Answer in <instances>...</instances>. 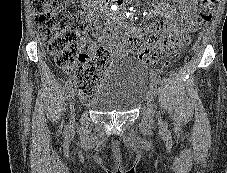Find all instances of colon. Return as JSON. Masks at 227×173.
<instances>
[{"instance_id":"obj_1","label":"colon","mask_w":227,"mask_h":173,"mask_svg":"<svg viewBox=\"0 0 227 173\" xmlns=\"http://www.w3.org/2000/svg\"><path fill=\"white\" fill-rule=\"evenodd\" d=\"M67 0H33L36 13L35 22L40 35L54 57L56 65L69 73L74 71L75 85L80 97L88 100L95 92L104 70L109 63L108 51L99 46L91 54L92 45L104 40L116 31V24L99 19H89L81 14L66 11ZM216 0H200L199 22H209L214 14ZM183 44L190 42L184 36ZM167 41L161 35H152L146 40L135 37L130 41V48L147 66H156L162 61V52ZM180 51L175 47L170 58L165 59L164 66L179 57Z\"/></svg>"}]
</instances>
